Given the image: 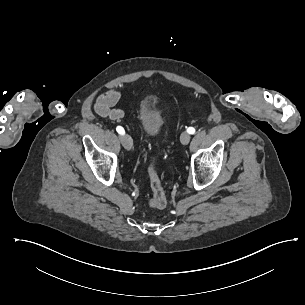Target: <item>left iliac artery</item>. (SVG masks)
I'll return each instance as SVG.
<instances>
[{
	"instance_id": "left-iliac-artery-1",
	"label": "left iliac artery",
	"mask_w": 305,
	"mask_h": 305,
	"mask_svg": "<svg viewBox=\"0 0 305 305\" xmlns=\"http://www.w3.org/2000/svg\"><path fill=\"white\" fill-rule=\"evenodd\" d=\"M187 132H188L189 134H194V133H195V129H194L193 127H189V128L187 129Z\"/></svg>"
}]
</instances>
